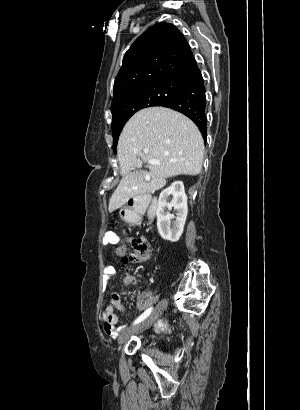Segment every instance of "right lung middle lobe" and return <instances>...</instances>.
Masks as SVG:
<instances>
[{
	"label": "right lung middle lobe",
	"mask_w": 300,
	"mask_h": 410,
	"mask_svg": "<svg viewBox=\"0 0 300 410\" xmlns=\"http://www.w3.org/2000/svg\"><path fill=\"white\" fill-rule=\"evenodd\" d=\"M185 83L170 82L145 86L124 94L118 103L116 114L112 115L113 150L118 137L128 119L138 110L151 106H161L174 98Z\"/></svg>",
	"instance_id": "1"
}]
</instances>
